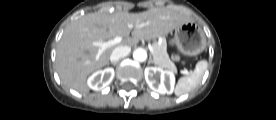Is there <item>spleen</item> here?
<instances>
[{
    "mask_svg": "<svg viewBox=\"0 0 276 120\" xmlns=\"http://www.w3.org/2000/svg\"><path fill=\"white\" fill-rule=\"evenodd\" d=\"M208 63L206 60H201L196 64L194 71L190 76L181 77L175 87V95L181 96L193 90L201 82L202 77L207 69Z\"/></svg>",
    "mask_w": 276,
    "mask_h": 120,
    "instance_id": "3e777b00",
    "label": "spleen"
}]
</instances>
